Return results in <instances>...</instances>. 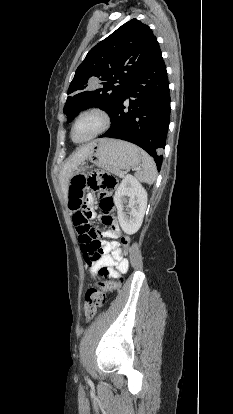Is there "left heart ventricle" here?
<instances>
[{"mask_svg":"<svg viewBox=\"0 0 233 414\" xmlns=\"http://www.w3.org/2000/svg\"><path fill=\"white\" fill-rule=\"evenodd\" d=\"M99 126V120L95 116H86L82 118L77 124L74 131V138L76 140H81L92 132H94Z\"/></svg>","mask_w":233,"mask_h":414,"instance_id":"left-heart-ventricle-1","label":"left heart ventricle"}]
</instances>
